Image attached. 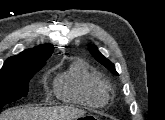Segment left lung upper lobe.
I'll use <instances>...</instances> for the list:
<instances>
[{"instance_id":"1","label":"left lung upper lobe","mask_w":165,"mask_h":120,"mask_svg":"<svg viewBox=\"0 0 165 120\" xmlns=\"http://www.w3.org/2000/svg\"><path fill=\"white\" fill-rule=\"evenodd\" d=\"M90 53L94 56V58L100 62L102 65H104L107 69H109L113 74L118 75V73L115 70L114 64L106 59L95 46L90 45L89 46Z\"/></svg>"}]
</instances>
